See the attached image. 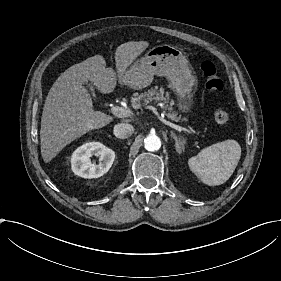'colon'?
<instances>
[{
    "label": "colon",
    "mask_w": 281,
    "mask_h": 281,
    "mask_svg": "<svg viewBox=\"0 0 281 281\" xmlns=\"http://www.w3.org/2000/svg\"><path fill=\"white\" fill-rule=\"evenodd\" d=\"M200 69L204 76L206 87L214 93L221 92L223 89V79L214 63L204 61L201 63ZM213 118L218 125H225L229 122L230 116L224 109H217L213 113Z\"/></svg>",
    "instance_id": "5ec220e1"
}]
</instances>
